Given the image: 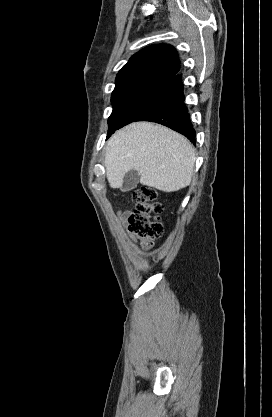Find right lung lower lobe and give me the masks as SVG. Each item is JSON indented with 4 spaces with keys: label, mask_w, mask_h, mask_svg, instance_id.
Instances as JSON below:
<instances>
[{
    "label": "right lung lower lobe",
    "mask_w": 272,
    "mask_h": 417,
    "mask_svg": "<svg viewBox=\"0 0 272 417\" xmlns=\"http://www.w3.org/2000/svg\"><path fill=\"white\" fill-rule=\"evenodd\" d=\"M151 121L165 125L195 143V130L184 104L181 77H173L134 121Z\"/></svg>",
    "instance_id": "1"
}]
</instances>
